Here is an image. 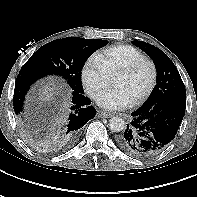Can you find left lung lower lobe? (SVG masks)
<instances>
[{
    "mask_svg": "<svg viewBox=\"0 0 197 197\" xmlns=\"http://www.w3.org/2000/svg\"><path fill=\"white\" fill-rule=\"evenodd\" d=\"M186 94L165 97L150 108L132 112V121L117 138L119 147L135 158H149L163 151L175 138L183 120Z\"/></svg>",
    "mask_w": 197,
    "mask_h": 197,
    "instance_id": "left-lung-lower-lobe-1",
    "label": "left lung lower lobe"
}]
</instances>
